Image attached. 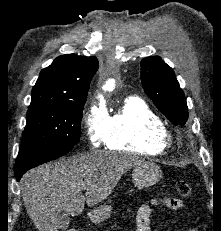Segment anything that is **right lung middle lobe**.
Listing matches in <instances>:
<instances>
[{
  "mask_svg": "<svg viewBox=\"0 0 221 231\" xmlns=\"http://www.w3.org/2000/svg\"><path fill=\"white\" fill-rule=\"evenodd\" d=\"M86 99L30 105L16 164L41 153L71 150L80 141Z\"/></svg>",
  "mask_w": 221,
  "mask_h": 231,
  "instance_id": "right-lung-middle-lobe-1",
  "label": "right lung middle lobe"
}]
</instances>
